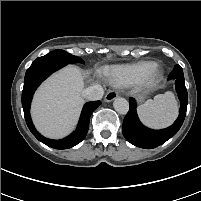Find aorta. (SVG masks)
<instances>
[{"mask_svg": "<svg viewBox=\"0 0 201 201\" xmlns=\"http://www.w3.org/2000/svg\"><path fill=\"white\" fill-rule=\"evenodd\" d=\"M115 111L119 114H127L129 111V102L124 98H116L113 102Z\"/></svg>", "mask_w": 201, "mask_h": 201, "instance_id": "obj_1", "label": "aorta"}]
</instances>
